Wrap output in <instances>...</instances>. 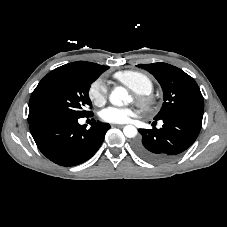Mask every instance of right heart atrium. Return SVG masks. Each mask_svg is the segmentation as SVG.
<instances>
[{
	"label": "right heart atrium",
	"instance_id": "d8ad5b80",
	"mask_svg": "<svg viewBox=\"0 0 227 227\" xmlns=\"http://www.w3.org/2000/svg\"><path fill=\"white\" fill-rule=\"evenodd\" d=\"M88 96L90 100L97 106L105 103L108 96V89L106 81L99 77L95 79L89 86Z\"/></svg>",
	"mask_w": 227,
	"mask_h": 227
}]
</instances>
